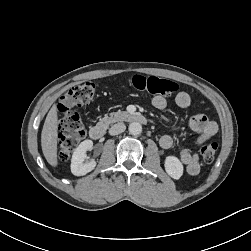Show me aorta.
<instances>
[{
  "label": "aorta",
  "mask_w": 251,
  "mask_h": 251,
  "mask_svg": "<svg viewBox=\"0 0 251 251\" xmlns=\"http://www.w3.org/2000/svg\"><path fill=\"white\" fill-rule=\"evenodd\" d=\"M128 130H129V133L131 135L136 136V135L141 134V132H142V126L138 122H132V123L129 124Z\"/></svg>",
  "instance_id": "aorta-1"
}]
</instances>
